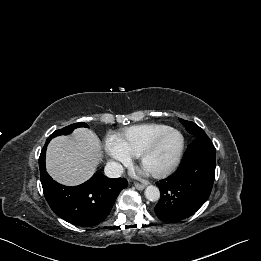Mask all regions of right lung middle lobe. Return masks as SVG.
<instances>
[{
  "mask_svg": "<svg viewBox=\"0 0 261 261\" xmlns=\"http://www.w3.org/2000/svg\"><path fill=\"white\" fill-rule=\"evenodd\" d=\"M78 127H88V125L84 122H81V123H74L72 125H69L67 127H64L60 130H56L54 133H52L48 139H52L56 136H59V135H67V134H70L75 128H78Z\"/></svg>",
  "mask_w": 261,
  "mask_h": 261,
  "instance_id": "obj_1",
  "label": "right lung middle lobe"
}]
</instances>
